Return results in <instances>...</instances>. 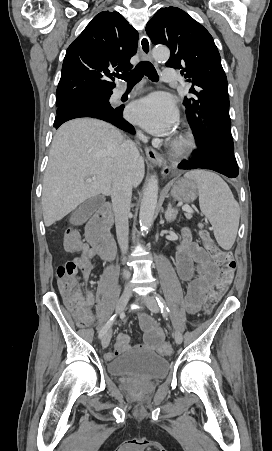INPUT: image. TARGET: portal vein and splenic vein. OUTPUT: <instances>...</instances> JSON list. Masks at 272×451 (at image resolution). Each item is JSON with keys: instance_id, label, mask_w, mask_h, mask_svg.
I'll use <instances>...</instances> for the list:
<instances>
[{"instance_id": "obj_1", "label": "portal vein and splenic vein", "mask_w": 272, "mask_h": 451, "mask_svg": "<svg viewBox=\"0 0 272 451\" xmlns=\"http://www.w3.org/2000/svg\"><path fill=\"white\" fill-rule=\"evenodd\" d=\"M92 180H95V178H88L87 182H92ZM183 212H189V214H193L192 208L190 206H182Z\"/></svg>"}]
</instances>
